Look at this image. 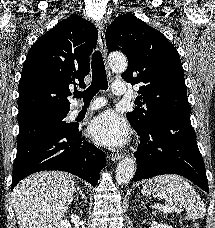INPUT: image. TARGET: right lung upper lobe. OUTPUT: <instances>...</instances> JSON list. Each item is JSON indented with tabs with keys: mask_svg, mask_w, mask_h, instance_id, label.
Returning <instances> with one entry per match:
<instances>
[{
	"mask_svg": "<svg viewBox=\"0 0 215 228\" xmlns=\"http://www.w3.org/2000/svg\"><path fill=\"white\" fill-rule=\"evenodd\" d=\"M98 32L89 21L71 16L41 36L29 50L19 82L18 122L68 113L69 85L85 86L89 55Z\"/></svg>",
	"mask_w": 215,
	"mask_h": 228,
	"instance_id": "cb5924a9",
	"label": "right lung upper lobe"
}]
</instances>
